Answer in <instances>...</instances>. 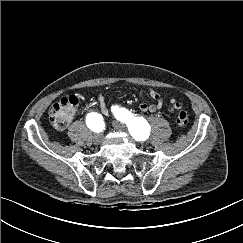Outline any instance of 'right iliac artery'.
<instances>
[{"label": "right iliac artery", "mask_w": 243, "mask_h": 243, "mask_svg": "<svg viewBox=\"0 0 243 243\" xmlns=\"http://www.w3.org/2000/svg\"><path fill=\"white\" fill-rule=\"evenodd\" d=\"M103 118L101 114L92 112L86 117L87 126L94 132H99L103 126Z\"/></svg>", "instance_id": "obj_1"}]
</instances>
